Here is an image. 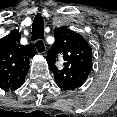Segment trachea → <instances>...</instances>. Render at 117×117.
<instances>
[{
	"mask_svg": "<svg viewBox=\"0 0 117 117\" xmlns=\"http://www.w3.org/2000/svg\"><path fill=\"white\" fill-rule=\"evenodd\" d=\"M43 37H44V23L41 18H36L32 27L31 39L32 41H35V40L43 39Z\"/></svg>",
	"mask_w": 117,
	"mask_h": 117,
	"instance_id": "3493384b",
	"label": "trachea"
}]
</instances>
